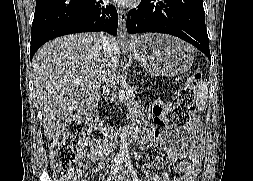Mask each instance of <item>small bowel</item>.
I'll use <instances>...</instances> for the list:
<instances>
[{"label": "small bowel", "mask_w": 253, "mask_h": 181, "mask_svg": "<svg viewBox=\"0 0 253 181\" xmlns=\"http://www.w3.org/2000/svg\"><path fill=\"white\" fill-rule=\"evenodd\" d=\"M171 108L170 102L159 103L153 107L154 122L143 142V159L148 164L152 156V147L162 149L171 163V169L170 172L166 171L162 158L156 155L154 165L161 173L154 175L153 181H196L204 156L201 131L196 129L192 135L181 136L176 129L168 127L165 114ZM90 147L89 158L96 162L104 152V142L93 140ZM171 173L183 176L173 178Z\"/></svg>", "instance_id": "1"}]
</instances>
